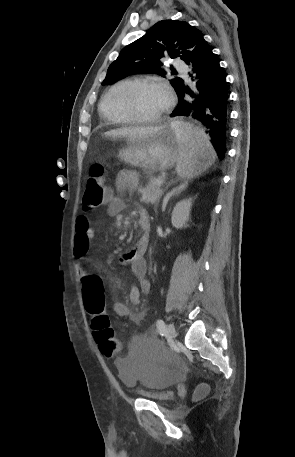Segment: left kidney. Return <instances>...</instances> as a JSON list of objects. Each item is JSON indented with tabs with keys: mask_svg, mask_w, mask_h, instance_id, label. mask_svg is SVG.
I'll return each mask as SVG.
<instances>
[{
	"mask_svg": "<svg viewBox=\"0 0 295 457\" xmlns=\"http://www.w3.org/2000/svg\"><path fill=\"white\" fill-rule=\"evenodd\" d=\"M192 207V199H185L176 204L171 216V223L173 227L180 229L187 227V222L190 218Z\"/></svg>",
	"mask_w": 295,
	"mask_h": 457,
	"instance_id": "obj_1",
	"label": "left kidney"
}]
</instances>
